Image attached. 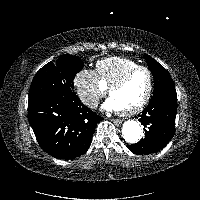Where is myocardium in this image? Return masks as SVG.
<instances>
[{
	"label": "myocardium",
	"mask_w": 200,
	"mask_h": 200,
	"mask_svg": "<svg viewBox=\"0 0 200 200\" xmlns=\"http://www.w3.org/2000/svg\"><path fill=\"white\" fill-rule=\"evenodd\" d=\"M139 71H145L148 75V88H147L146 94L143 97V99L135 106H133L129 109H125V110H119L118 112H120V114L123 116L134 115V114L140 112L148 104V102L151 99V96L153 93V88H154L153 74L149 68H147L145 66H137L135 68H132L128 72H126L117 81H115L113 84H111L109 86L108 94H109V96H111V94L115 90L121 88L135 73H137Z\"/></svg>",
	"instance_id": "myocardium-1"
}]
</instances>
